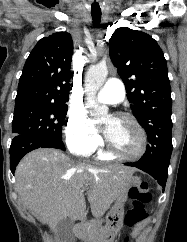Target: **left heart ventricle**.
Returning <instances> with one entry per match:
<instances>
[{"label":"left heart ventricle","mask_w":187,"mask_h":242,"mask_svg":"<svg viewBox=\"0 0 187 242\" xmlns=\"http://www.w3.org/2000/svg\"><path fill=\"white\" fill-rule=\"evenodd\" d=\"M110 145L124 153H135L140 149L141 138L137 129L129 122L109 117L104 121Z\"/></svg>","instance_id":"left-heart-ventricle-1"}]
</instances>
